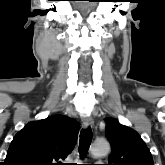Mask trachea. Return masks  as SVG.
Segmentation results:
<instances>
[{"instance_id": "trachea-1", "label": "trachea", "mask_w": 165, "mask_h": 165, "mask_svg": "<svg viewBox=\"0 0 165 165\" xmlns=\"http://www.w3.org/2000/svg\"><path fill=\"white\" fill-rule=\"evenodd\" d=\"M92 141V130L88 127L86 130H82L80 133V140H79V154L80 158L83 159L90 147Z\"/></svg>"}]
</instances>
